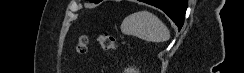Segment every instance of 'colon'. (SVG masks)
<instances>
[{
  "label": "colon",
  "mask_w": 244,
  "mask_h": 73,
  "mask_svg": "<svg viewBox=\"0 0 244 73\" xmlns=\"http://www.w3.org/2000/svg\"><path fill=\"white\" fill-rule=\"evenodd\" d=\"M97 41L100 48L104 51H113L117 47V39L106 33H100L97 36ZM88 39L85 35L79 37L75 49L78 54H84L86 52Z\"/></svg>",
  "instance_id": "obj_1"
}]
</instances>
